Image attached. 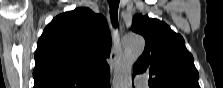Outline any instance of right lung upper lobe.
Returning a JSON list of instances; mask_svg holds the SVG:
<instances>
[{
    "mask_svg": "<svg viewBox=\"0 0 223 88\" xmlns=\"http://www.w3.org/2000/svg\"><path fill=\"white\" fill-rule=\"evenodd\" d=\"M110 47L102 15L80 7L56 16L38 40L34 88H95L109 77Z\"/></svg>",
    "mask_w": 223,
    "mask_h": 88,
    "instance_id": "1",
    "label": "right lung upper lobe"
}]
</instances>
